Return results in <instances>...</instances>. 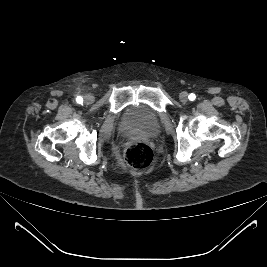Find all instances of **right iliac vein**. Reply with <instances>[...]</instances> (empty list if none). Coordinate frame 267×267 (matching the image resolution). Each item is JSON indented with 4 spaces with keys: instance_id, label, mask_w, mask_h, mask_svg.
<instances>
[{
    "instance_id": "right-iliac-vein-1",
    "label": "right iliac vein",
    "mask_w": 267,
    "mask_h": 267,
    "mask_svg": "<svg viewBox=\"0 0 267 267\" xmlns=\"http://www.w3.org/2000/svg\"><path fill=\"white\" fill-rule=\"evenodd\" d=\"M94 101V97L91 94H88L84 97V102L86 104H91Z\"/></svg>"
}]
</instances>
